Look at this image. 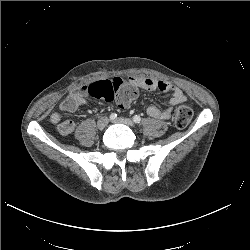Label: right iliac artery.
<instances>
[{
    "mask_svg": "<svg viewBox=\"0 0 250 250\" xmlns=\"http://www.w3.org/2000/svg\"><path fill=\"white\" fill-rule=\"evenodd\" d=\"M116 117H117V114H116V113H112V114L110 115V119H111V120L116 119Z\"/></svg>",
    "mask_w": 250,
    "mask_h": 250,
    "instance_id": "1",
    "label": "right iliac artery"
}]
</instances>
